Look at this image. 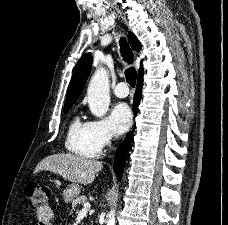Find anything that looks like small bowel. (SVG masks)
Wrapping results in <instances>:
<instances>
[{
  "mask_svg": "<svg viewBox=\"0 0 228 225\" xmlns=\"http://www.w3.org/2000/svg\"><path fill=\"white\" fill-rule=\"evenodd\" d=\"M37 221L38 225H52L53 211L50 207H45L44 209L37 211Z\"/></svg>",
  "mask_w": 228,
  "mask_h": 225,
  "instance_id": "c3829d8e",
  "label": "small bowel"
}]
</instances>
